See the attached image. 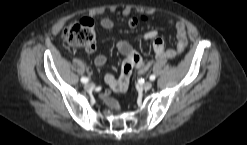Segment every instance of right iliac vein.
<instances>
[{
    "instance_id": "obj_1",
    "label": "right iliac vein",
    "mask_w": 247,
    "mask_h": 145,
    "mask_svg": "<svg viewBox=\"0 0 247 145\" xmlns=\"http://www.w3.org/2000/svg\"><path fill=\"white\" fill-rule=\"evenodd\" d=\"M94 88L93 84L91 83H87L84 85V89L87 90V91H90Z\"/></svg>"
}]
</instances>
